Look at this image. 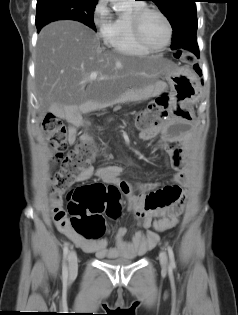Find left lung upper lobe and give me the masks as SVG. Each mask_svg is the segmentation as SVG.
<instances>
[{
  "mask_svg": "<svg viewBox=\"0 0 238 315\" xmlns=\"http://www.w3.org/2000/svg\"><path fill=\"white\" fill-rule=\"evenodd\" d=\"M151 1L168 17L173 29V42L196 39L197 16L195 0Z\"/></svg>",
  "mask_w": 238,
  "mask_h": 315,
  "instance_id": "1",
  "label": "left lung upper lobe"
}]
</instances>
